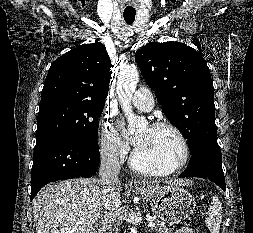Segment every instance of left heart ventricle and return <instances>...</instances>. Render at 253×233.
Listing matches in <instances>:
<instances>
[{
    "label": "left heart ventricle",
    "instance_id": "1",
    "mask_svg": "<svg viewBox=\"0 0 253 233\" xmlns=\"http://www.w3.org/2000/svg\"><path fill=\"white\" fill-rule=\"evenodd\" d=\"M137 137L141 138L136 147L140 164L155 170H167L180 162L181 144L171 131L145 127L137 133Z\"/></svg>",
    "mask_w": 253,
    "mask_h": 233
}]
</instances>
